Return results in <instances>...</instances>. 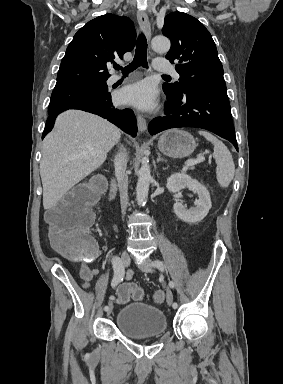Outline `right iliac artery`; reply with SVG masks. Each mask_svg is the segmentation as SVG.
Returning a JSON list of instances; mask_svg holds the SVG:
<instances>
[{"instance_id": "1", "label": "right iliac artery", "mask_w": 283, "mask_h": 384, "mask_svg": "<svg viewBox=\"0 0 283 384\" xmlns=\"http://www.w3.org/2000/svg\"><path fill=\"white\" fill-rule=\"evenodd\" d=\"M113 269H114V276L111 282V286L114 288L117 286L118 283H120L123 280L125 275L124 266L118 257L113 258ZM108 309H109V306L104 307L105 311Z\"/></svg>"}]
</instances>
